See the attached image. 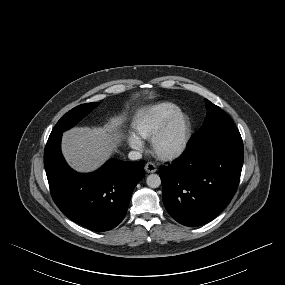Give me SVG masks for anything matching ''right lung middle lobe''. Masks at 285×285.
I'll return each instance as SVG.
<instances>
[{
    "instance_id": "dd1d6c3e",
    "label": "right lung middle lobe",
    "mask_w": 285,
    "mask_h": 285,
    "mask_svg": "<svg viewBox=\"0 0 285 285\" xmlns=\"http://www.w3.org/2000/svg\"><path fill=\"white\" fill-rule=\"evenodd\" d=\"M99 103H87L79 105L67 112L55 125L51 133L63 132L73 127L87 113L93 110Z\"/></svg>"
}]
</instances>
